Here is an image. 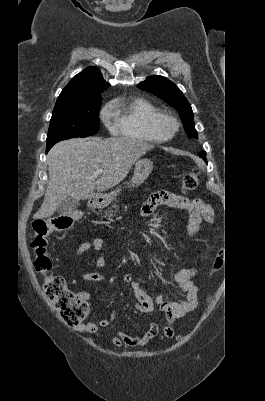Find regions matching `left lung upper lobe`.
Segmentation results:
<instances>
[{"instance_id":"5c2ea615","label":"left lung upper lobe","mask_w":265,"mask_h":401,"mask_svg":"<svg viewBox=\"0 0 265 401\" xmlns=\"http://www.w3.org/2000/svg\"><path fill=\"white\" fill-rule=\"evenodd\" d=\"M138 87L157 95L172 107H175L181 117L187 135L189 137H198L194 127L192 108L181 90L173 82L162 76H149L144 82L138 84Z\"/></svg>"}]
</instances>
